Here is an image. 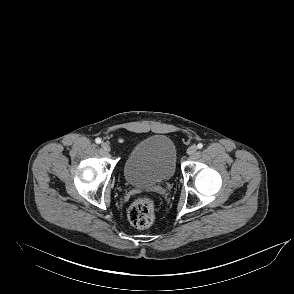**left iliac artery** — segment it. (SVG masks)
Listing matches in <instances>:
<instances>
[{"label":"left iliac artery","instance_id":"left-iliac-artery-1","mask_svg":"<svg viewBox=\"0 0 294 294\" xmlns=\"http://www.w3.org/2000/svg\"><path fill=\"white\" fill-rule=\"evenodd\" d=\"M203 147V144L202 143H199L198 145H197V148L198 149H201Z\"/></svg>","mask_w":294,"mask_h":294}]
</instances>
